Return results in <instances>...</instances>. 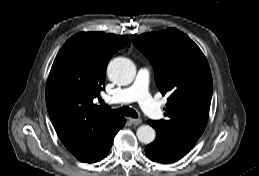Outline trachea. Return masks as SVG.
Returning <instances> with one entry per match:
<instances>
[{"mask_svg":"<svg viewBox=\"0 0 259 176\" xmlns=\"http://www.w3.org/2000/svg\"><path fill=\"white\" fill-rule=\"evenodd\" d=\"M100 104H101L102 107L111 110V108L108 105H106L104 103V101H100ZM112 111L117 113V114L125 115V116H130V117H133V118H136L138 116L136 111L133 110L132 108H129V107H121L119 109L112 110Z\"/></svg>","mask_w":259,"mask_h":176,"instance_id":"3493384b","label":"trachea"}]
</instances>
